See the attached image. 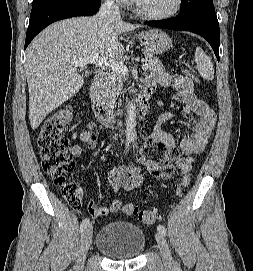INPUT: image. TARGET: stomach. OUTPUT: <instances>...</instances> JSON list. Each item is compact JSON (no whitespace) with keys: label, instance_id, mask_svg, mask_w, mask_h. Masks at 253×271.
Instances as JSON below:
<instances>
[{"label":"stomach","instance_id":"0dacf381","mask_svg":"<svg viewBox=\"0 0 253 271\" xmlns=\"http://www.w3.org/2000/svg\"><path fill=\"white\" fill-rule=\"evenodd\" d=\"M138 39L152 55L166 52L172 46V39L167 33L158 29H151L138 34Z\"/></svg>","mask_w":253,"mask_h":271}]
</instances>
